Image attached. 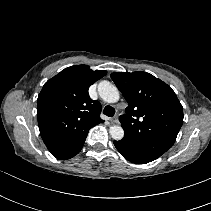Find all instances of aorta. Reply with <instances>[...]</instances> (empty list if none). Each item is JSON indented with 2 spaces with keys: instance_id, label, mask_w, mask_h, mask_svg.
<instances>
[{
  "instance_id": "aorta-1",
  "label": "aorta",
  "mask_w": 211,
  "mask_h": 211,
  "mask_svg": "<svg viewBox=\"0 0 211 211\" xmlns=\"http://www.w3.org/2000/svg\"><path fill=\"white\" fill-rule=\"evenodd\" d=\"M100 97L107 103H115L119 100V90L108 81H101L98 85ZM109 133L114 140H121L124 137V130L121 126H111Z\"/></svg>"
}]
</instances>
